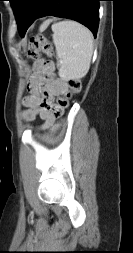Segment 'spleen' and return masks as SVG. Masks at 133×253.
Wrapping results in <instances>:
<instances>
[{
    "label": "spleen",
    "instance_id": "obj_1",
    "mask_svg": "<svg viewBox=\"0 0 133 253\" xmlns=\"http://www.w3.org/2000/svg\"><path fill=\"white\" fill-rule=\"evenodd\" d=\"M52 31L60 78L66 81L83 78L89 71L93 55L91 31L70 20L54 23Z\"/></svg>",
    "mask_w": 133,
    "mask_h": 253
}]
</instances>
